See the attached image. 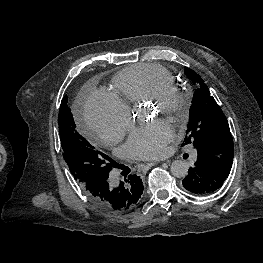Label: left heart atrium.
Returning a JSON list of instances; mask_svg holds the SVG:
<instances>
[{
	"label": "left heart atrium",
	"instance_id": "obj_1",
	"mask_svg": "<svg viewBox=\"0 0 263 263\" xmlns=\"http://www.w3.org/2000/svg\"><path fill=\"white\" fill-rule=\"evenodd\" d=\"M172 138L171 127L162 121H156L136 129L124 145V151L134 159H156L164 154L166 145Z\"/></svg>",
	"mask_w": 263,
	"mask_h": 263
}]
</instances>
